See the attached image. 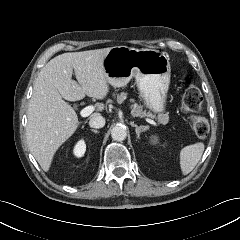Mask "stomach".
<instances>
[{"mask_svg":"<svg viewBox=\"0 0 240 240\" xmlns=\"http://www.w3.org/2000/svg\"><path fill=\"white\" fill-rule=\"evenodd\" d=\"M103 68L113 87H124L134 77L144 105L154 113L165 110L171 67L164 53L115 46L105 56Z\"/></svg>","mask_w":240,"mask_h":240,"instance_id":"1","label":"stomach"}]
</instances>
